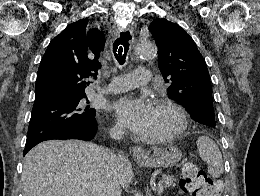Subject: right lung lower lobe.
I'll return each mask as SVG.
<instances>
[{
    "instance_id": "right-lung-lower-lobe-1",
    "label": "right lung lower lobe",
    "mask_w": 260,
    "mask_h": 196,
    "mask_svg": "<svg viewBox=\"0 0 260 196\" xmlns=\"http://www.w3.org/2000/svg\"><path fill=\"white\" fill-rule=\"evenodd\" d=\"M96 132H97V122H95L91 125L70 131V132H66V133H63V134L53 136L51 138H48V139H45V140H42V141L52 140V139H60V140L79 139V140L89 141V140L94 138ZM42 141L36 142L34 144H31V145H27V146L25 145L23 156H25V154L31 148H33L35 145H37L38 143H40Z\"/></svg>"
}]
</instances>
